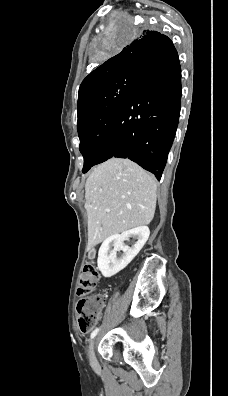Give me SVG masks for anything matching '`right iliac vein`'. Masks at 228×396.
Masks as SVG:
<instances>
[{
    "label": "right iliac vein",
    "mask_w": 228,
    "mask_h": 396,
    "mask_svg": "<svg viewBox=\"0 0 228 396\" xmlns=\"http://www.w3.org/2000/svg\"><path fill=\"white\" fill-rule=\"evenodd\" d=\"M94 349H95V340H93V341L91 342L90 347H89L90 362H91V364H93V365H94L95 362H96Z\"/></svg>",
    "instance_id": "1"
}]
</instances>
